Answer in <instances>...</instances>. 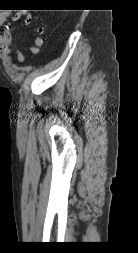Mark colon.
I'll return each instance as SVG.
<instances>
[{
    "label": "colon",
    "mask_w": 138,
    "mask_h": 253,
    "mask_svg": "<svg viewBox=\"0 0 138 253\" xmlns=\"http://www.w3.org/2000/svg\"><path fill=\"white\" fill-rule=\"evenodd\" d=\"M44 43H45L44 38L40 35L37 36L35 38L34 47H32L33 48L32 52L35 54L39 53L41 48L44 46Z\"/></svg>",
    "instance_id": "colon-1"
}]
</instances>
